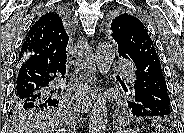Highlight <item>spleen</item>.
<instances>
[{
  "label": "spleen",
  "mask_w": 184,
  "mask_h": 133,
  "mask_svg": "<svg viewBox=\"0 0 184 133\" xmlns=\"http://www.w3.org/2000/svg\"><path fill=\"white\" fill-rule=\"evenodd\" d=\"M131 132H132V133H135V132H136V130H132Z\"/></svg>",
  "instance_id": "spleen-1"
}]
</instances>
